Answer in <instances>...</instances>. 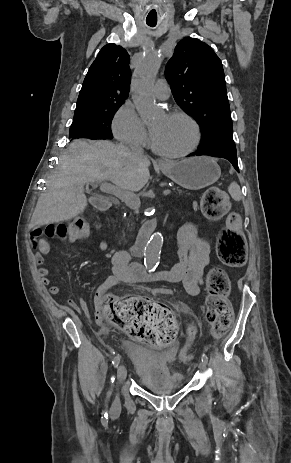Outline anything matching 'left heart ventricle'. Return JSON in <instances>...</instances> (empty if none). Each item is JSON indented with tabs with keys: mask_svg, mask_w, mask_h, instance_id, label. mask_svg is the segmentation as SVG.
Masks as SVG:
<instances>
[{
	"mask_svg": "<svg viewBox=\"0 0 291 463\" xmlns=\"http://www.w3.org/2000/svg\"><path fill=\"white\" fill-rule=\"evenodd\" d=\"M154 145L173 153L187 148L193 139L192 127L181 118L161 116L151 124Z\"/></svg>",
	"mask_w": 291,
	"mask_h": 463,
	"instance_id": "left-heart-ventricle-1",
	"label": "left heart ventricle"
}]
</instances>
